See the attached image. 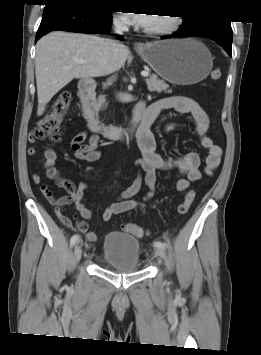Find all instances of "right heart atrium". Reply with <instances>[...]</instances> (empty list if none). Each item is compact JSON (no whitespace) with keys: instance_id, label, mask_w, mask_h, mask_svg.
I'll return each mask as SVG.
<instances>
[{"instance_id":"d8ad5b80","label":"right heart atrium","mask_w":261,"mask_h":355,"mask_svg":"<svg viewBox=\"0 0 261 355\" xmlns=\"http://www.w3.org/2000/svg\"><path fill=\"white\" fill-rule=\"evenodd\" d=\"M114 23L119 26V27H124L126 26V21L125 18L121 15H116L114 17Z\"/></svg>"}]
</instances>
